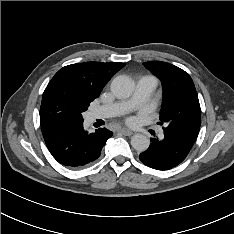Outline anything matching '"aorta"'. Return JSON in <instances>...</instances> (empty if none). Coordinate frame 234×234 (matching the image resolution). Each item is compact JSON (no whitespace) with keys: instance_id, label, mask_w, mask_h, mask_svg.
I'll return each instance as SVG.
<instances>
[{"instance_id":"762f6f07","label":"aorta","mask_w":234,"mask_h":234,"mask_svg":"<svg viewBox=\"0 0 234 234\" xmlns=\"http://www.w3.org/2000/svg\"><path fill=\"white\" fill-rule=\"evenodd\" d=\"M111 91L115 97L125 99L132 95L134 91V82L128 76H117L111 83ZM131 145L137 151H145L150 145V140L143 134H135L131 137Z\"/></svg>"}]
</instances>
